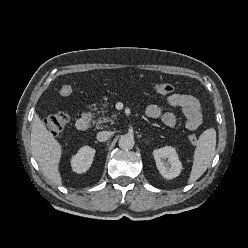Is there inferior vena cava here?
Here are the masks:
<instances>
[{"label": "inferior vena cava", "instance_id": "1", "mask_svg": "<svg viewBox=\"0 0 248 248\" xmlns=\"http://www.w3.org/2000/svg\"><path fill=\"white\" fill-rule=\"evenodd\" d=\"M111 134L112 133L109 131H101L97 134V140L100 142L107 141L110 138Z\"/></svg>", "mask_w": 248, "mask_h": 248}]
</instances>
